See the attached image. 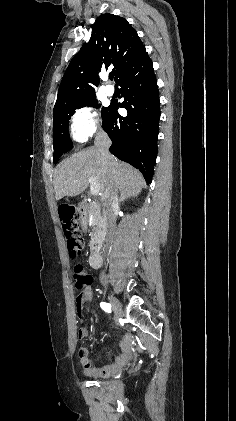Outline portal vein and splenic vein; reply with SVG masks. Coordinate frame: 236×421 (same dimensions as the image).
<instances>
[{
    "label": "portal vein and splenic vein",
    "instance_id": "obj_1",
    "mask_svg": "<svg viewBox=\"0 0 236 421\" xmlns=\"http://www.w3.org/2000/svg\"><path fill=\"white\" fill-rule=\"evenodd\" d=\"M88 180H89V182L91 184V186H90V192H91V194H98V192H99V186H98L95 178H92V176H89Z\"/></svg>",
    "mask_w": 236,
    "mask_h": 421
}]
</instances>
